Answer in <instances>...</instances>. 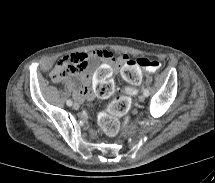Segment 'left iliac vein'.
<instances>
[{
	"instance_id": "left-iliac-vein-1",
	"label": "left iliac vein",
	"mask_w": 215,
	"mask_h": 183,
	"mask_svg": "<svg viewBox=\"0 0 215 183\" xmlns=\"http://www.w3.org/2000/svg\"><path fill=\"white\" fill-rule=\"evenodd\" d=\"M145 100V95L143 94V95H140L139 96V101L140 102H143Z\"/></svg>"
}]
</instances>
